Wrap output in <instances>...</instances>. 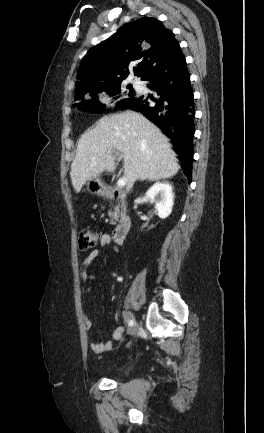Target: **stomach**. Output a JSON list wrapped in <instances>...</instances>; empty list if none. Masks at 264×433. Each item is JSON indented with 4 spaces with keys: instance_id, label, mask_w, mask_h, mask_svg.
I'll return each mask as SVG.
<instances>
[{
    "instance_id": "obj_1",
    "label": "stomach",
    "mask_w": 264,
    "mask_h": 433,
    "mask_svg": "<svg viewBox=\"0 0 264 433\" xmlns=\"http://www.w3.org/2000/svg\"><path fill=\"white\" fill-rule=\"evenodd\" d=\"M87 188L92 194L95 195H104L107 191V188L98 177L88 180Z\"/></svg>"
}]
</instances>
